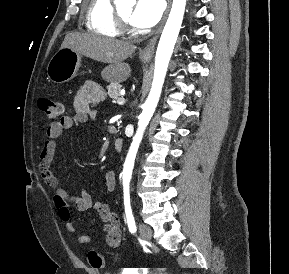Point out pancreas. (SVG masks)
<instances>
[{
	"instance_id": "obj_1",
	"label": "pancreas",
	"mask_w": 289,
	"mask_h": 274,
	"mask_svg": "<svg viewBox=\"0 0 289 274\" xmlns=\"http://www.w3.org/2000/svg\"><path fill=\"white\" fill-rule=\"evenodd\" d=\"M121 85L118 83H112L108 86V96L113 100H117L120 96Z\"/></svg>"
}]
</instances>
